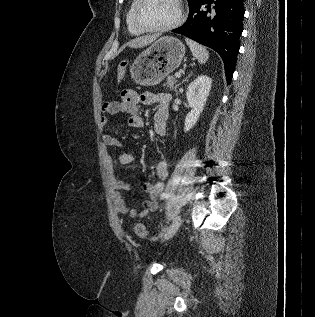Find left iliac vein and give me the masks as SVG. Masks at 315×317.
<instances>
[{
  "mask_svg": "<svg viewBox=\"0 0 315 317\" xmlns=\"http://www.w3.org/2000/svg\"><path fill=\"white\" fill-rule=\"evenodd\" d=\"M181 225V216H176L163 235L162 241L168 240L175 235Z\"/></svg>",
  "mask_w": 315,
  "mask_h": 317,
  "instance_id": "1",
  "label": "left iliac vein"
}]
</instances>
